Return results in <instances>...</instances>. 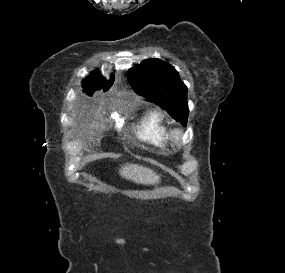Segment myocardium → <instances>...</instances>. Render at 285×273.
<instances>
[{"label":"myocardium","mask_w":285,"mask_h":273,"mask_svg":"<svg viewBox=\"0 0 285 273\" xmlns=\"http://www.w3.org/2000/svg\"><path fill=\"white\" fill-rule=\"evenodd\" d=\"M184 137V131L180 128L174 129L172 133V138L177 143H182Z\"/></svg>","instance_id":"f54148a6"}]
</instances>
